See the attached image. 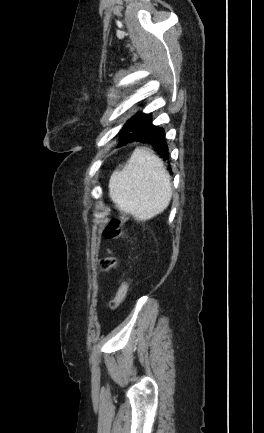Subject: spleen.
<instances>
[{"instance_id": "1", "label": "spleen", "mask_w": 264, "mask_h": 433, "mask_svg": "<svg viewBox=\"0 0 264 433\" xmlns=\"http://www.w3.org/2000/svg\"><path fill=\"white\" fill-rule=\"evenodd\" d=\"M109 196L117 208L137 220L161 214L169 205L172 185L164 162L145 147H137L124 167L109 180Z\"/></svg>"}]
</instances>
